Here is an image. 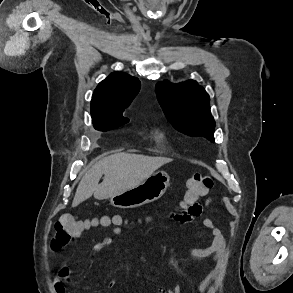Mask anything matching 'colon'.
Instances as JSON below:
<instances>
[{"label":"colon","instance_id":"obj_1","mask_svg":"<svg viewBox=\"0 0 293 293\" xmlns=\"http://www.w3.org/2000/svg\"><path fill=\"white\" fill-rule=\"evenodd\" d=\"M214 177L207 174L196 173L190 177L185 186L184 196L179 207L190 210L200 199L206 195L214 185ZM100 223L104 225L113 224L120 226L122 220L120 217L102 216ZM92 222L80 220L75 215L63 214L55 222V235L51 241V248L58 251L71 242H73L80 234L85 231Z\"/></svg>","mask_w":293,"mask_h":293}]
</instances>
